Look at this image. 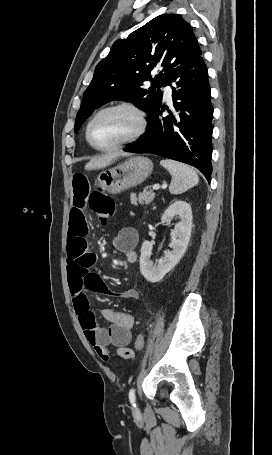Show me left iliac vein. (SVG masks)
I'll return each mask as SVG.
<instances>
[{"mask_svg":"<svg viewBox=\"0 0 272 455\" xmlns=\"http://www.w3.org/2000/svg\"><path fill=\"white\" fill-rule=\"evenodd\" d=\"M133 410H134V412H136V411L138 410V408H137V407H134V409H133Z\"/></svg>","mask_w":272,"mask_h":455,"instance_id":"4c4485c4","label":"left iliac vein"}]
</instances>
